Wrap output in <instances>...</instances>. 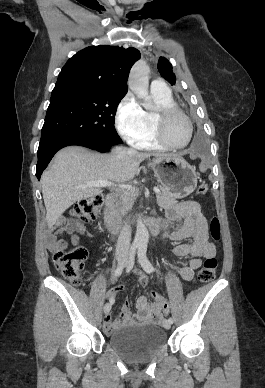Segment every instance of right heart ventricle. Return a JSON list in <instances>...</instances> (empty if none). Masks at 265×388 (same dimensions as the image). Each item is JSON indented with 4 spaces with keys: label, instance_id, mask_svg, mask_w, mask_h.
<instances>
[{
    "label": "right heart ventricle",
    "instance_id": "e07e8e85",
    "mask_svg": "<svg viewBox=\"0 0 265 388\" xmlns=\"http://www.w3.org/2000/svg\"><path fill=\"white\" fill-rule=\"evenodd\" d=\"M149 97L156 103V108L163 105H175L170 91H150ZM155 108V109H156ZM154 111H145L146 129L144 133L134 140V145L140 149L163 150L164 147L156 139L154 132Z\"/></svg>",
    "mask_w": 265,
    "mask_h": 388
}]
</instances>
